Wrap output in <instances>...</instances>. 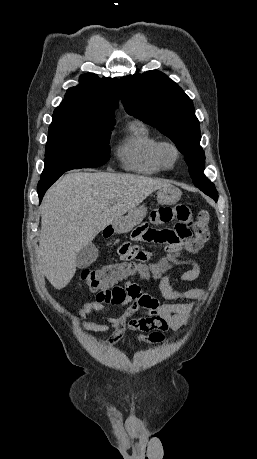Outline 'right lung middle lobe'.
<instances>
[{"label":"right lung middle lobe","mask_w":257,"mask_h":459,"mask_svg":"<svg viewBox=\"0 0 257 459\" xmlns=\"http://www.w3.org/2000/svg\"><path fill=\"white\" fill-rule=\"evenodd\" d=\"M112 129L113 126L53 118L49 126L42 174L104 165L109 160Z\"/></svg>","instance_id":"dd1d6c3e"}]
</instances>
